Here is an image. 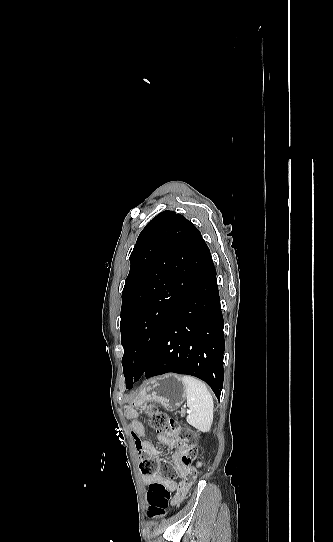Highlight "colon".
<instances>
[{
  "mask_svg": "<svg viewBox=\"0 0 333 542\" xmlns=\"http://www.w3.org/2000/svg\"><path fill=\"white\" fill-rule=\"evenodd\" d=\"M146 416L149 427L163 436L165 439H173L179 443L185 452L182 457V464L189 466L195 460L199 461L200 447L197 434L187 425L177 422L154 406L146 408ZM183 426V427H182ZM160 433H163L161 435ZM140 471L145 475H155L162 472L165 475L174 474L173 467L167 460H158L156 458H146L140 463ZM192 476L180 484L178 491L173 493L165 484L152 483L147 491L146 500L148 503L147 515L150 519L164 517L167 514L170 501L176 496H184L192 483Z\"/></svg>",
  "mask_w": 333,
  "mask_h": 542,
  "instance_id": "1",
  "label": "colon"
}]
</instances>
